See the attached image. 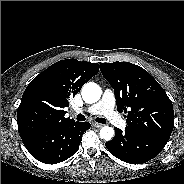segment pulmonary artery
<instances>
[{
  "instance_id": "1",
  "label": "pulmonary artery",
  "mask_w": 184,
  "mask_h": 184,
  "mask_svg": "<svg viewBox=\"0 0 184 184\" xmlns=\"http://www.w3.org/2000/svg\"><path fill=\"white\" fill-rule=\"evenodd\" d=\"M76 113L88 112L93 115H103L111 124L121 129L126 127V121L115 110V96L112 90L106 89L102 98L87 109H76Z\"/></svg>"
}]
</instances>
